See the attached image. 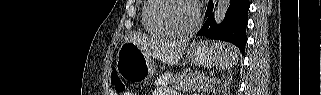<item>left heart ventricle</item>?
<instances>
[{
    "instance_id": "b2bd125f",
    "label": "left heart ventricle",
    "mask_w": 321,
    "mask_h": 95,
    "mask_svg": "<svg viewBox=\"0 0 321 95\" xmlns=\"http://www.w3.org/2000/svg\"><path fill=\"white\" fill-rule=\"evenodd\" d=\"M159 18L177 30H187L195 22V14L192 6L185 1H171L163 6L159 12Z\"/></svg>"
}]
</instances>
